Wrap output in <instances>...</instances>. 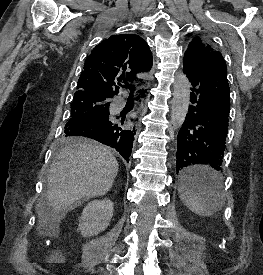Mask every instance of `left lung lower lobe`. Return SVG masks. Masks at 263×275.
<instances>
[{
	"mask_svg": "<svg viewBox=\"0 0 263 275\" xmlns=\"http://www.w3.org/2000/svg\"><path fill=\"white\" fill-rule=\"evenodd\" d=\"M183 66L192 86L193 105L177 136L176 170L184 182L211 192L226 149L230 112L227 67L216 59L192 56L183 60Z\"/></svg>",
	"mask_w": 263,
	"mask_h": 275,
	"instance_id": "1",
	"label": "left lung lower lobe"
}]
</instances>
